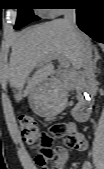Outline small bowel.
<instances>
[{
  "label": "small bowel",
  "instance_id": "c3829d8e",
  "mask_svg": "<svg viewBox=\"0 0 104 169\" xmlns=\"http://www.w3.org/2000/svg\"><path fill=\"white\" fill-rule=\"evenodd\" d=\"M67 124L76 132L77 135V141L74 144V148H76L79 151L86 150L88 143L84 134L77 131L73 123ZM56 153H57V162L55 168L62 169L69 156L68 150L65 147H58ZM80 169H92V163L87 160L81 165Z\"/></svg>",
  "mask_w": 104,
  "mask_h": 169
}]
</instances>
